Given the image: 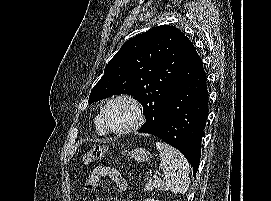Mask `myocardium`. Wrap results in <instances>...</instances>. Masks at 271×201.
Masks as SVG:
<instances>
[{"label": "myocardium", "instance_id": "f54148a6", "mask_svg": "<svg viewBox=\"0 0 271 201\" xmlns=\"http://www.w3.org/2000/svg\"><path fill=\"white\" fill-rule=\"evenodd\" d=\"M117 101H126V102L130 103L133 106L135 113H136L135 122L131 126L124 128V129L113 128L108 123L107 118H106L107 108L112 103L117 102ZM100 119H101V122L107 132L112 133V134H117V135L130 134V133L136 132L137 130H139L143 126V124L145 123V112H144V108H143L142 104L140 103V101L137 98H135L134 96L129 95V94H118V95H115V96L109 98L104 103V105L100 111Z\"/></svg>", "mask_w": 271, "mask_h": 201}]
</instances>
